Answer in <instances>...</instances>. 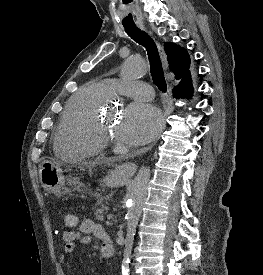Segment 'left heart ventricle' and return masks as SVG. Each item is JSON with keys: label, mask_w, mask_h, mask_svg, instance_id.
<instances>
[{"label": "left heart ventricle", "mask_w": 263, "mask_h": 275, "mask_svg": "<svg viewBox=\"0 0 263 275\" xmlns=\"http://www.w3.org/2000/svg\"><path fill=\"white\" fill-rule=\"evenodd\" d=\"M104 120V126L107 129L109 133L114 134L115 133V128H116V123H115V118L112 116H107L103 118Z\"/></svg>", "instance_id": "b2bd125f"}]
</instances>
